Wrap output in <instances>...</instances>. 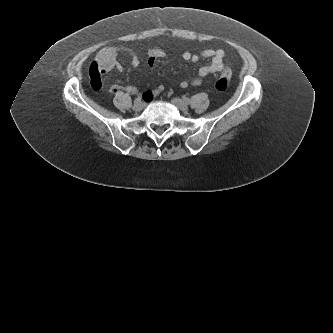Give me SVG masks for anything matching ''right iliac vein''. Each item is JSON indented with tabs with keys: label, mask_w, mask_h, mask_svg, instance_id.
Returning <instances> with one entry per match:
<instances>
[{
	"label": "right iliac vein",
	"mask_w": 333,
	"mask_h": 333,
	"mask_svg": "<svg viewBox=\"0 0 333 333\" xmlns=\"http://www.w3.org/2000/svg\"><path fill=\"white\" fill-rule=\"evenodd\" d=\"M145 107V104L142 101L134 102L133 110L136 112L141 111Z\"/></svg>",
	"instance_id": "1"
}]
</instances>
